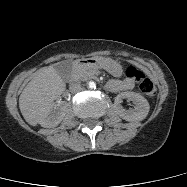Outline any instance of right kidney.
Listing matches in <instances>:
<instances>
[{
	"mask_svg": "<svg viewBox=\"0 0 187 187\" xmlns=\"http://www.w3.org/2000/svg\"><path fill=\"white\" fill-rule=\"evenodd\" d=\"M52 108L47 110L39 121V124L44 128L56 127L62 121L67 111L64 103L53 104Z\"/></svg>",
	"mask_w": 187,
	"mask_h": 187,
	"instance_id": "right-kidney-1",
	"label": "right kidney"
}]
</instances>
